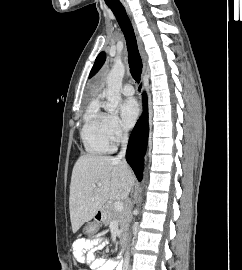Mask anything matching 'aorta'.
I'll list each match as a JSON object with an SVG mask.
<instances>
[{
	"label": "aorta",
	"mask_w": 242,
	"mask_h": 270,
	"mask_svg": "<svg viewBox=\"0 0 242 270\" xmlns=\"http://www.w3.org/2000/svg\"><path fill=\"white\" fill-rule=\"evenodd\" d=\"M124 74H125V66L121 62H116L107 76V79H106L107 103L104 105V109L108 111L109 113H115L121 101L120 89L122 86V80H123ZM134 213L137 214L138 210L136 209ZM135 226H136V223H134L132 226L133 230L135 229ZM129 241H131V234L129 237ZM129 247H130V244H129ZM127 254H129L128 251H127Z\"/></svg>",
	"instance_id": "obj_1"
}]
</instances>
